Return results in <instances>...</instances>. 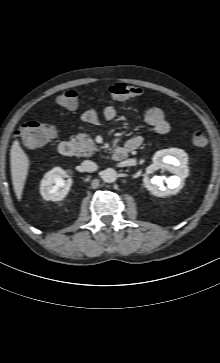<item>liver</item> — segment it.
I'll list each match as a JSON object with an SVG mask.
<instances>
[{
	"instance_id": "6515ba94",
	"label": "liver",
	"mask_w": 220,
	"mask_h": 363,
	"mask_svg": "<svg viewBox=\"0 0 220 363\" xmlns=\"http://www.w3.org/2000/svg\"><path fill=\"white\" fill-rule=\"evenodd\" d=\"M10 165L14 192L17 199L20 201L27 179L30 161L27 154L21 148L18 140L13 142L10 150Z\"/></svg>"
}]
</instances>
